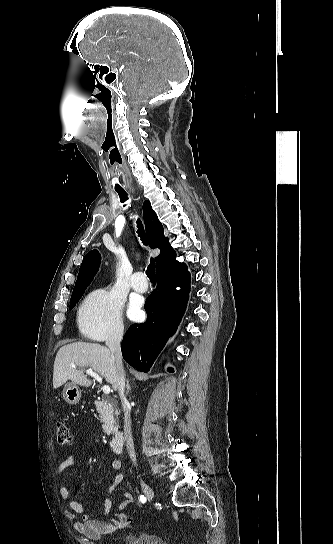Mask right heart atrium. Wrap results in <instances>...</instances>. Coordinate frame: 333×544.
Here are the masks:
<instances>
[{
	"label": "right heart atrium",
	"instance_id": "d8ad5b80",
	"mask_svg": "<svg viewBox=\"0 0 333 544\" xmlns=\"http://www.w3.org/2000/svg\"><path fill=\"white\" fill-rule=\"evenodd\" d=\"M81 332L96 341L119 339L124 333L123 300L109 288L90 293L80 307Z\"/></svg>",
	"mask_w": 333,
	"mask_h": 544
}]
</instances>
